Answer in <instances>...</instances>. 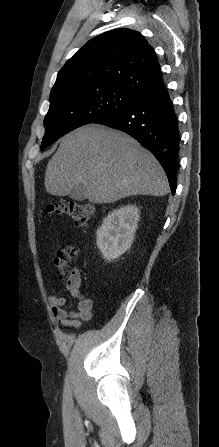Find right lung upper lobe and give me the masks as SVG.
<instances>
[{
  "label": "right lung upper lobe",
  "mask_w": 219,
  "mask_h": 447,
  "mask_svg": "<svg viewBox=\"0 0 219 447\" xmlns=\"http://www.w3.org/2000/svg\"><path fill=\"white\" fill-rule=\"evenodd\" d=\"M111 85L137 98L163 86L154 49L138 32L116 29L90 40L59 71L52 92Z\"/></svg>",
  "instance_id": "right-lung-upper-lobe-1"
}]
</instances>
